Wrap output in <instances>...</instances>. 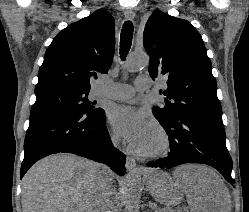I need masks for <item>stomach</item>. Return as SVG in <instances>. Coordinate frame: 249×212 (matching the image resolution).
<instances>
[{"label": "stomach", "mask_w": 249, "mask_h": 212, "mask_svg": "<svg viewBox=\"0 0 249 212\" xmlns=\"http://www.w3.org/2000/svg\"><path fill=\"white\" fill-rule=\"evenodd\" d=\"M148 184L146 193H154V198H179L182 184H173L171 170H151V175H144ZM159 204H179V199H159Z\"/></svg>", "instance_id": "stomach-1"}]
</instances>
